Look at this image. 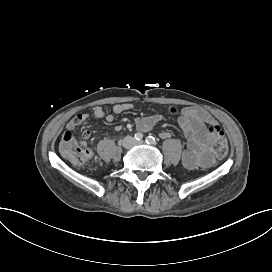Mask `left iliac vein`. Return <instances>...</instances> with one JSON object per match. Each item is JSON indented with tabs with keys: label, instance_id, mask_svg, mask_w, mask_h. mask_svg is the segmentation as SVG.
Returning <instances> with one entry per match:
<instances>
[{
	"label": "left iliac vein",
	"instance_id": "4c4485c4",
	"mask_svg": "<svg viewBox=\"0 0 272 272\" xmlns=\"http://www.w3.org/2000/svg\"><path fill=\"white\" fill-rule=\"evenodd\" d=\"M143 143H144L143 141H140V142L135 141V142L133 143V145H140V144H143Z\"/></svg>",
	"mask_w": 272,
	"mask_h": 272
}]
</instances>
